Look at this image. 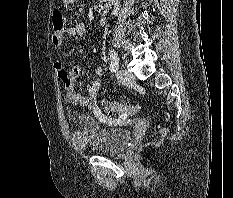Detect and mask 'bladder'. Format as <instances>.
<instances>
[{
	"label": "bladder",
	"mask_w": 233,
	"mask_h": 198,
	"mask_svg": "<svg viewBox=\"0 0 233 198\" xmlns=\"http://www.w3.org/2000/svg\"><path fill=\"white\" fill-rule=\"evenodd\" d=\"M131 138V131L127 128H107L92 121L83 122L74 133V142L78 147L106 155L122 153Z\"/></svg>",
	"instance_id": "1"
}]
</instances>
